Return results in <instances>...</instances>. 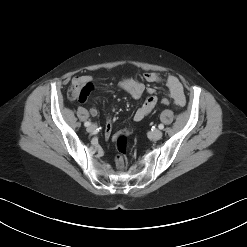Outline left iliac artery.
I'll return each mask as SVG.
<instances>
[{
	"label": "left iliac artery",
	"mask_w": 247,
	"mask_h": 247,
	"mask_svg": "<svg viewBox=\"0 0 247 247\" xmlns=\"http://www.w3.org/2000/svg\"><path fill=\"white\" fill-rule=\"evenodd\" d=\"M159 129H163L164 128V125L163 124H159Z\"/></svg>",
	"instance_id": "44dca946"
}]
</instances>
